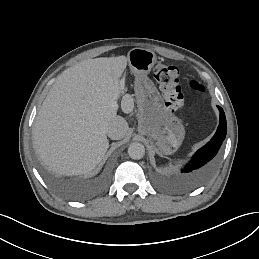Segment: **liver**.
<instances>
[{"instance_id":"liver-1","label":"liver","mask_w":259,"mask_h":259,"mask_svg":"<svg viewBox=\"0 0 259 259\" xmlns=\"http://www.w3.org/2000/svg\"><path fill=\"white\" fill-rule=\"evenodd\" d=\"M126 66L123 55L100 57L57 77L32 128L35 153L46 166L67 176L95 169L109 148L107 126L120 117L119 78ZM121 108L127 105L122 102Z\"/></svg>"}]
</instances>
